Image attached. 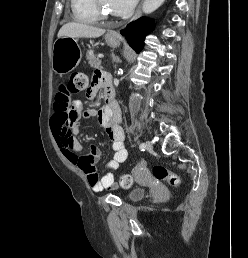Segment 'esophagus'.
I'll return each mask as SVG.
<instances>
[{"label": "esophagus", "instance_id": "obj_1", "mask_svg": "<svg viewBox=\"0 0 248 258\" xmlns=\"http://www.w3.org/2000/svg\"><path fill=\"white\" fill-rule=\"evenodd\" d=\"M142 4H143V0H141V2L139 4L138 8L136 9V12H135L134 16L132 17L131 21L136 20L140 16ZM111 34L117 35V32L113 31V32H111Z\"/></svg>", "mask_w": 248, "mask_h": 258}]
</instances>
